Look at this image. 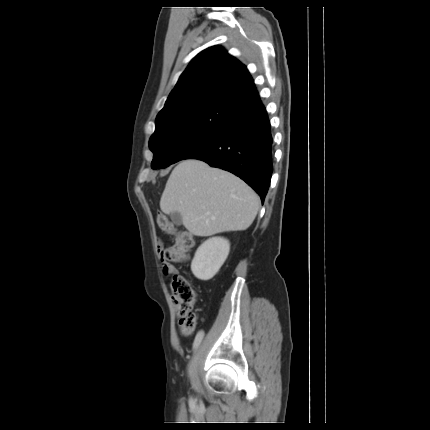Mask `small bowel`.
<instances>
[{"instance_id": "c3829d8e", "label": "small bowel", "mask_w": 430, "mask_h": 430, "mask_svg": "<svg viewBox=\"0 0 430 430\" xmlns=\"http://www.w3.org/2000/svg\"><path fill=\"white\" fill-rule=\"evenodd\" d=\"M159 262L162 263V272L164 275H173L177 273V269L174 265L166 263V258H160ZM201 336L204 334L203 331H199Z\"/></svg>"}]
</instances>
